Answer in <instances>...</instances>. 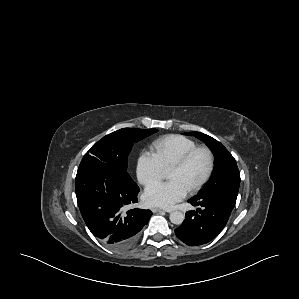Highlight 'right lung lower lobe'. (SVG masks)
I'll list each match as a JSON object with an SVG mask.
<instances>
[{
  "instance_id": "obj_1",
  "label": "right lung lower lobe",
  "mask_w": 299,
  "mask_h": 299,
  "mask_svg": "<svg viewBox=\"0 0 299 299\" xmlns=\"http://www.w3.org/2000/svg\"><path fill=\"white\" fill-rule=\"evenodd\" d=\"M140 188L125 182L112 170L89 166L78 170L76 197L82 217L91 231L115 251L129 249L152 212L132 208Z\"/></svg>"
}]
</instances>
